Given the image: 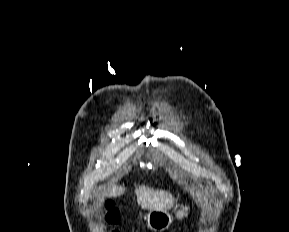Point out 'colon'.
Masks as SVG:
<instances>
[{"instance_id": "colon-1", "label": "colon", "mask_w": 289, "mask_h": 232, "mask_svg": "<svg viewBox=\"0 0 289 232\" xmlns=\"http://www.w3.org/2000/svg\"><path fill=\"white\" fill-rule=\"evenodd\" d=\"M120 214L111 201L105 202L103 222L109 227L110 232H119L113 226L119 222Z\"/></svg>"}]
</instances>
